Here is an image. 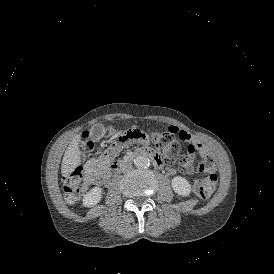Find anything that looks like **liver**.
Returning a JSON list of instances; mask_svg holds the SVG:
<instances>
[{
    "mask_svg": "<svg viewBox=\"0 0 274 274\" xmlns=\"http://www.w3.org/2000/svg\"><path fill=\"white\" fill-rule=\"evenodd\" d=\"M81 136L78 134L76 135L72 141L70 142L68 148L66 149L62 165H61V173L64 177H68L74 169L81 164L80 154L81 151L79 150V141Z\"/></svg>",
    "mask_w": 274,
    "mask_h": 274,
    "instance_id": "1",
    "label": "liver"
}]
</instances>
